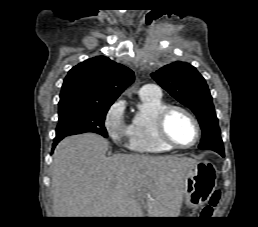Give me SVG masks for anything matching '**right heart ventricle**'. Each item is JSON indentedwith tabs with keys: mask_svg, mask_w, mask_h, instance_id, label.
Listing matches in <instances>:
<instances>
[{
	"mask_svg": "<svg viewBox=\"0 0 258 227\" xmlns=\"http://www.w3.org/2000/svg\"><path fill=\"white\" fill-rule=\"evenodd\" d=\"M166 106L162 96L139 93L137 109L128 126L127 146L131 151L157 154L172 149L160 141L156 131V117Z\"/></svg>",
	"mask_w": 258,
	"mask_h": 227,
	"instance_id": "right-heart-ventricle-1",
	"label": "right heart ventricle"
}]
</instances>
